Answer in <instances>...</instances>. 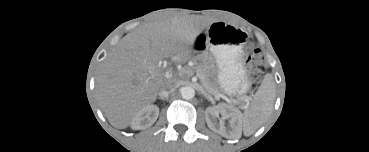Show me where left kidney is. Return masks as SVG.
Segmentation results:
<instances>
[{"label":"left kidney","instance_id":"5707ae66","mask_svg":"<svg viewBox=\"0 0 369 152\" xmlns=\"http://www.w3.org/2000/svg\"><path fill=\"white\" fill-rule=\"evenodd\" d=\"M219 114H221L224 119L229 120L232 126V131H227L224 125L217 124L212 121V118L218 116ZM205 117L208 127L214 132H217L227 138H237L239 131L237 124L240 121L241 117L239 111L233 110L228 106L220 104L214 107L206 108Z\"/></svg>","mask_w":369,"mask_h":152}]
</instances>
